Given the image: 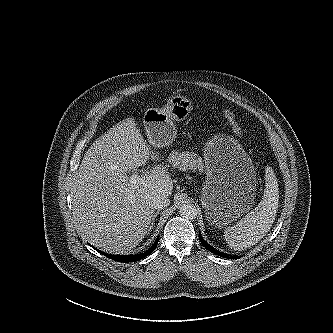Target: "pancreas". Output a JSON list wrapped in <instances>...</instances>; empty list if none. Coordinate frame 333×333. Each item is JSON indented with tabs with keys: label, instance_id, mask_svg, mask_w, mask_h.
<instances>
[{
	"label": "pancreas",
	"instance_id": "1",
	"mask_svg": "<svg viewBox=\"0 0 333 333\" xmlns=\"http://www.w3.org/2000/svg\"><path fill=\"white\" fill-rule=\"evenodd\" d=\"M172 167L177 168L182 171L190 170L203 172L205 169V164L203 159L195 153L192 152H178L172 151L168 159Z\"/></svg>",
	"mask_w": 333,
	"mask_h": 333
}]
</instances>
